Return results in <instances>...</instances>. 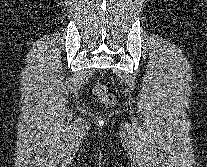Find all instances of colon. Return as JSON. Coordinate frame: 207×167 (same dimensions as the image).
I'll use <instances>...</instances> for the list:
<instances>
[{
    "label": "colon",
    "instance_id": "5ec220e1",
    "mask_svg": "<svg viewBox=\"0 0 207 167\" xmlns=\"http://www.w3.org/2000/svg\"><path fill=\"white\" fill-rule=\"evenodd\" d=\"M93 94L100 99L106 107H112L115 104L116 98L114 94L109 92L108 88L100 83L93 86Z\"/></svg>",
    "mask_w": 207,
    "mask_h": 167
}]
</instances>
